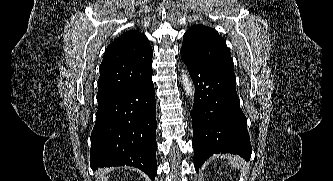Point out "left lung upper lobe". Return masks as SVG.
Returning <instances> with one entry per match:
<instances>
[{
    "label": "left lung upper lobe",
    "mask_w": 333,
    "mask_h": 181,
    "mask_svg": "<svg viewBox=\"0 0 333 181\" xmlns=\"http://www.w3.org/2000/svg\"><path fill=\"white\" fill-rule=\"evenodd\" d=\"M181 52L235 76L233 60L218 32L204 25L191 27L183 37Z\"/></svg>",
    "instance_id": "left-lung-upper-lobe-1"
}]
</instances>
